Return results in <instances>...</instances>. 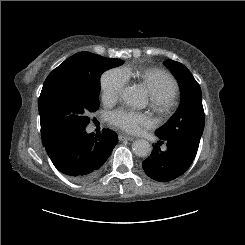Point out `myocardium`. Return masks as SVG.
I'll return each mask as SVG.
<instances>
[{"label":"myocardium","instance_id":"f54148a6","mask_svg":"<svg viewBox=\"0 0 245 245\" xmlns=\"http://www.w3.org/2000/svg\"><path fill=\"white\" fill-rule=\"evenodd\" d=\"M175 96L169 90H163L158 93L151 94L150 105L161 115H167L173 108Z\"/></svg>","mask_w":245,"mask_h":245}]
</instances>
